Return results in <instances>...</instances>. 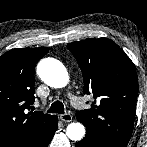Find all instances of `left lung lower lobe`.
I'll use <instances>...</instances> for the list:
<instances>
[{
  "label": "left lung lower lobe",
  "instance_id": "0a47b994",
  "mask_svg": "<svg viewBox=\"0 0 147 147\" xmlns=\"http://www.w3.org/2000/svg\"><path fill=\"white\" fill-rule=\"evenodd\" d=\"M76 147H110L93 133L86 132L85 137L76 143Z\"/></svg>",
  "mask_w": 147,
  "mask_h": 147
}]
</instances>
